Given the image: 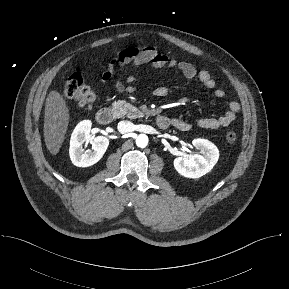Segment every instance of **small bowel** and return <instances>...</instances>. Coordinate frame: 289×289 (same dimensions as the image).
I'll return each mask as SVG.
<instances>
[{
  "label": "small bowel",
  "instance_id": "c3829d8e",
  "mask_svg": "<svg viewBox=\"0 0 289 289\" xmlns=\"http://www.w3.org/2000/svg\"><path fill=\"white\" fill-rule=\"evenodd\" d=\"M127 65H132L135 68L150 65L155 69L164 67L178 69L185 78L197 79L207 89L213 90V95L218 98L225 97V91L216 87V81L212 77L209 71L200 70L198 71L195 66L186 61H178L170 58L164 53L157 51L155 47H128L119 51L109 62L106 70L101 76V82L107 83L113 77L115 67L123 68ZM135 81V77L128 76L125 84L121 78L115 81V87L118 93H132L134 86L132 85ZM168 93V89L164 86H159L154 89L153 94L156 97H164ZM240 110V104L237 101H231L228 105V109L224 114L219 117L202 118L197 120L196 124L198 127L208 130H216L222 127L229 126L236 118L237 113ZM171 125L180 131H188L191 125L179 118L171 119Z\"/></svg>",
  "mask_w": 289,
  "mask_h": 289
}]
</instances>
